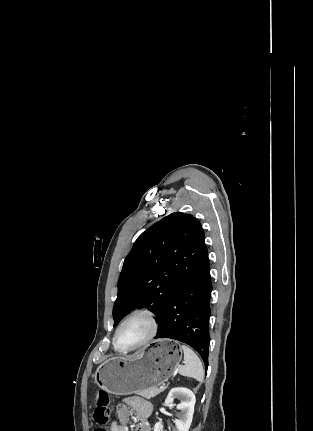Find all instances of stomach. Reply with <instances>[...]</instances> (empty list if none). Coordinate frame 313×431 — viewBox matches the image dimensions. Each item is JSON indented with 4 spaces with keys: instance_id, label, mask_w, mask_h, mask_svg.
Returning <instances> with one entry per match:
<instances>
[{
    "instance_id": "stomach-1",
    "label": "stomach",
    "mask_w": 313,
    "mask_h": 431,
    "mask_svg": "<svg viewBox=\"0 0 313 431\" xmlns=\"http://www.w3.org/2000/svg\"><path fill=\"white\" fill-rule=\"evenodd\" d=\"M181 358L176 342L155 340L132 356L109 358L97 368L94 380L101 389L115 395L158 388L172 376Z\"/></svg>"
}]
</instances>
